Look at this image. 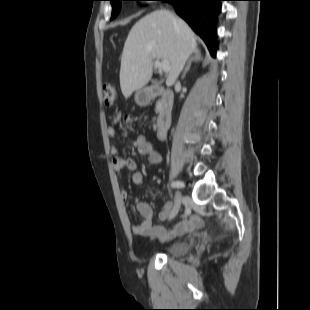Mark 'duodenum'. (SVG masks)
Instances as JSON below:
<instances>
[{
	"label": "duodenum",
	"mask_w": 310,
	"mask_h": 310,
	"mask_svg": "<svg viewBox=\"0 0 310 310\" xmlns=\"http://www.w3.org/2000/svg\"><path fill=\"white\" fill-rule=\"evenodd\" d=\"M156 97L159 98L156 136L163 139L172 122L174 97L171 91L155 87L149 93L143 94V101L150 102Z\"/></svg>",
	"instance_id": "duodenum-1"
}]
</instances>
